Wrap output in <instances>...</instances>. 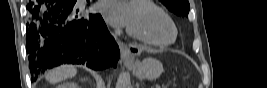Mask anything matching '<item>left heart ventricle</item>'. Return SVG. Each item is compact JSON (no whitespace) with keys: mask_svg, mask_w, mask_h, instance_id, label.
<instances>
[{"mask_svg":"<svg viewBox=\"0 0 267 88\" xmlns=\"http://www.w3.org/2000/svg\"><path fill=\"white\" fill-rule=\"evenodd\" d=\"M128 27L138 35L155 42H169L174 28L168 18L144 5L131 4Z\"/></svg>","mask_w":267,"mask_h":88,"instance_id":"b2bd125f","label":"left heart ventricle"}]
</instances>
